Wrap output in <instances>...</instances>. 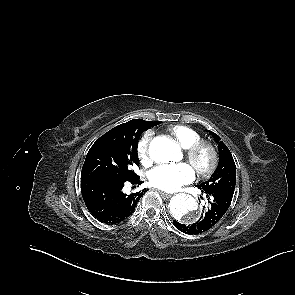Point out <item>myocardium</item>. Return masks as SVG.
<instances>
[{"mask_svg": "<svg viewBox=\"0 0 295 295\" xmlns=\"http://www.w3.org/2000/svg\"><path fill=\"white\" fill-rule=\"evenodd\" d=\"M203 152L209 155V162L206 166L197 164V160ZM185 155L187 160L194 166L197 174L203 178L210 176L218 165L219 156L217 149L212 143L207 141H200L185 149Z\"/></svg>", "mask_w": 295, "mask_h": 295, "instance_id": "f54148a6", "label": "myocardium"}]
</instances>
